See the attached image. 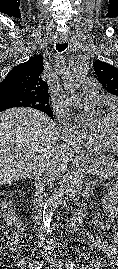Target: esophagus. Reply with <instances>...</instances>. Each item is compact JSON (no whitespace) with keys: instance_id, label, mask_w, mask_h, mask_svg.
Wrapping results in <instances>:
<instances>
[{"instance_id":"esophagus-1","label":"esophagus","mask_w":118,"mask_h":269,"mask_svg":"<svg viewBox=\"0 0 118 269\" xmlns=\"http://www.w3.org/2000/svg\"><path fill=\"white\" fill-rule=\"evenodd\" d=\"M67 41V38H65V37H61L60 39H59V42L60 43H65ZM86 160V158L84 157V155H78V156H76V158L74 159V162L75 163H78V162H82V161H85Z\"/></svg>"}]
</instances>
